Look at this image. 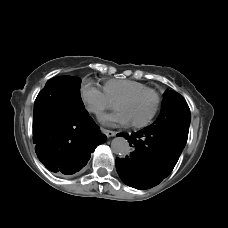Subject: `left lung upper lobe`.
Returning a JSON list of instances; mask_svg holds the SVG:
<instances>
[{"instance_id": "5c2ea615", "label": "left lung upper lobe", "mask_w": 228, "mask_h": 228, "mask_svg": "<svg viewBox=\"0 0 228 228\" xmlns=\"http://www.w3.org/2000/svg\"><path fill=\"white\" fill-rule=\"evenodd\" d=\"M190 120V109L185 99L175 91H166L162 111L153 124L179 131L187 139Z\"/></svg>"}]
</instances>
